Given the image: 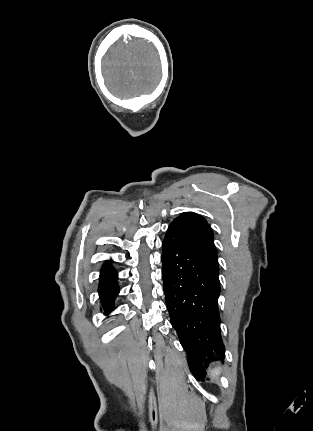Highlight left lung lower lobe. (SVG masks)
Returning a JSON list of instances; mask_svg holds the SVG:
<instances>
[{"mask_svg":"<svg viewBox=\"0 0 313 431\" xmlns=\"http://www.w3.org/2000/svg\"><path fill=\"white\" fill-rule=\"evenodd\" d=\"M216 258L168 229L163 240L162 276L171 324L188 355L198 381L205 369L225 356L217 300L220 295Z\"/></svg>","mask_w":313,"mask_h":431,"instance_id":"obj_1","label":"left lung lower lobe"}]
</instances>
